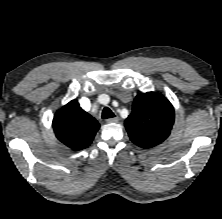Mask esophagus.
Returning <instances> with one entry per match:
<instances>
[{"mask_svg": "<svg viewBox=\"0 0 222 219\" xmlns=\"http://www.w3.org/2000/svg\"><path fill=\"white\" fill-rule=\"evenodd\" d=\"M118 121H119L118 117L110 118L106 120L107 123H117Z\"/></svg>", "mask_w": 222, "mask_h": 219, "instance_id": "34e87169", "label": "esophagus"}]
</instances>
